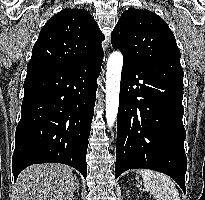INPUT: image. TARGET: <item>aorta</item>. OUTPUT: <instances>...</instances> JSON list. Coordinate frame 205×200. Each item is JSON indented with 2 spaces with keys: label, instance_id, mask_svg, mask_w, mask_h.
<instances>
[{
  "label": "aorta",
  "instance_id": "762f6f07",
  "mask_svg": "<svg viewBox=\"0 0 205 200\" xmlns=\"http://www.w3.org/2000/svg\"><path fill=\"white\" fill-rule=\"evenodd\" d=\"M123 56L120 51L110 54L106 72V122L112 128L118 113Z\"/></svg>",
  "mask_w": 205,
  "mask_h": 200
}]
</instances>
